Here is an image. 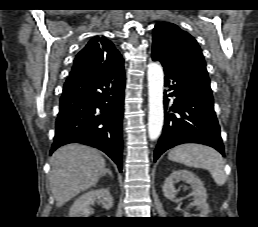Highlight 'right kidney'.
<instances>
[{
    "instance_id": "obj_1",
    "label": "right kidney",
    "mask_w": 258,
    "mask_h": 227,
    "mask_svg": "<svg viewBox=\"0 0 258 227\" xmlns=\"http://www.w3.org/2000/svg\"><path fill=\"white\" fill-rule=\"evenodd\" d=\"M95 202L101 203L107 210L113 206V198L109 189L100 188L91 190L75 200L69 211V217H86L91 211V205Z\"/></svg>"
}]
</instances>
